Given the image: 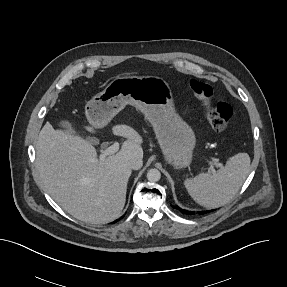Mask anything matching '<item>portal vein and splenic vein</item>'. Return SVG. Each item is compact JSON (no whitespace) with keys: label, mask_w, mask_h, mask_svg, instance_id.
<instances>
[{"label":"portal vein and splenic vein","mask_w":287,"mask_h":287,"mask_svg":"<svg viewBox=\"0 0 287 287\" xmlns=\"http://www.w3.org/2000/svg\"><path fill=\"white\" fill-rule=\"evenodd\" d=\"M119 150V143L118 142H115L113 145L105 148L104 150L101 151V154L99 156L100 160H104L106 158V156H110V155H113L115 154L117 151ZM213 163L216 164L215 162V159H213V161L210 162V169L211 171H215L214 168H213ZM217 165L219 167H222V164L221 163H217Z\"/></svg>","instance_id":"1"}]
</instances>
